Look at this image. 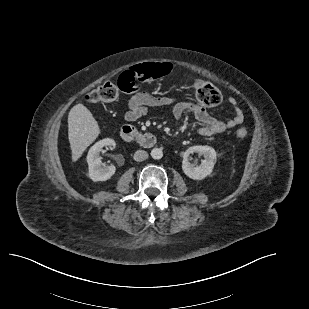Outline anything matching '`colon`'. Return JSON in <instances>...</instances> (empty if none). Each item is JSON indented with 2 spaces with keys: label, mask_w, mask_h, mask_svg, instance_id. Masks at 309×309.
Wrapping results in <instances>:
<instances>
[{
  "label": "colon",
  "mask_w": 309,
  "mask_h": 309,
  "mask_svg": "<svg viewBox=\"0 0 309 309\" xmlns=\"http://www.w3.org/2000/svg\"><path fill=\"white\" fill-rule=\"evenodd\" d=\"M172 70L170 63H146L139 65L133 69L123 72L117 84L112 82L104 83L92 91H90L86 99L91 104H101L113 102L119 95V91L131 92L136 89V82H151L168 75ZM129 81L132 88H126L125 83ZM194 91L197 101L204 106L213 107L222 102L221 92L212 84L196 80L194 82ZM247 130L239 128L236 131V137L239 139L245 138Z\"/></svg>",
  "instance_id": "colon-1"
}]
</instances>
